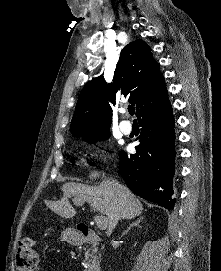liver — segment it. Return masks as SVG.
<instances>
[{"instance_id":"1","label":"liver","mask_w":221,"mask_h":271,"mask_svg":"<svg viewBox=\"0 0 221 271\" xmlns=\"http://www.w3.org/2000/svg\"><path fill=\"white\" fill-rule=\"evenodd\" d=\"M92 177H99V171H93ZM64 193L59 201H46V205L62 215V217H74L77 211L72 207L68 197L76 195L80 201H88L92 207H95L100 213L108 217L107 235H111L112 229L116 227L119 219H133L142 213L144 209L138 197L113 177H106L99 185H82V183H64L62 187Z\"/></svg>"}]
</instances>
